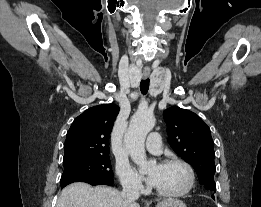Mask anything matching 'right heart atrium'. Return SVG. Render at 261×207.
Here are the masks:
<instances>
[{"label":"right heart atrium","mask_w":261,"mask_h":207,"mask_svg":"<svg viewBox=\"0 0 261 207\" xmlns=\"http://www.w3.org/2000/svg\"><path fill=\"white\" fill-rule=\"evenodd\" d=\"M116 172L123 188L132 191L143 190L144 186L141 177L127 162H118L116 165Z\"/></svg>","instance_id":"1"}]
</instances>
